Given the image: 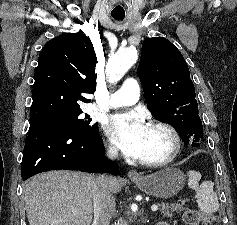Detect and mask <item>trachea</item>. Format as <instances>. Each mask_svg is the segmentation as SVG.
Here are the masks:
<instances>
[{
  "label": "trachea",
  "mask_w": 237,
  "mask_h": 225,
  "mask_svg": "<svg viewBox=\"0 0 237 225\" xmlns=\"http://www.w3.org/2000/svg\"><path fill=\"white\" fill-rule=\"evenodd\" d=\"M112 17L115 19V20H121L124 18V16H120V15H112Z\"/></svg>",
  "instance_id": "1"
}]
</instances>
